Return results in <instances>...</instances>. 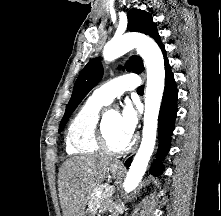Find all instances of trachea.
Segmentation results:
<instances>
[{
	"label": "trachea",
	"instance_id": "trachea-1",
	"mask_svg": "<svg viewBox=\"0 0 221 216\" xmlns=\"http://www.w3.org/2000/svg\"><path fill=\"white\" fill-rule=\"evenodd\" d=\"M137 92H144V85L138 87Z\"/></svg>",
	"mask_w": 221,
	"mask_h": 216
}]
</instances>
